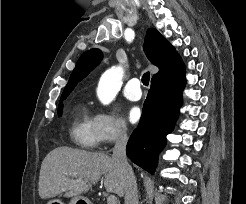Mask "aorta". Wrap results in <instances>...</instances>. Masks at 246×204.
Instances as JSON below:
<instances>
[{"label": "aorta", "instance_id": "obj_1", "mask_svg": "<svg viewBox=\"0 0 246 204\" xmlns=\"http://www.w3.org/2000/svg\"><path fill=\"white\" fill-rule=\"evenodd\" d=\"M123 69L121 66H115L107 70L101 77L98 86L99 100L107 105L115 97L122 81Z\"/></svg>", "mask_w": 246, "mask_h": 204}]
</instances>
